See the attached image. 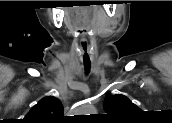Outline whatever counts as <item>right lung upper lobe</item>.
<instances>
[{"label": "right lung upper lobe", "mask_w": 172, "mask_h": 123, "mask_svg": "<svg viewBox=\"0 0 172 123\" xmlns=\"http://www.w3.org/2000/svg\"><path fill=\"white\" fill-rule=\"evenodd\" d=\"M63 120L62 103L53 96L44 97L24 118L26 123H59Z\"/></svg>", "instance_id": "cb5924a9"}]
</instances>
